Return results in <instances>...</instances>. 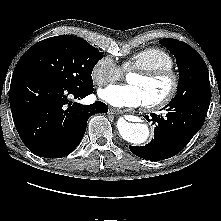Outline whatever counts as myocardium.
<instances>
[{"label":"myocardium","mask_w":221,"mask_h":221,"mask_svg":"<svg viewBox=\"0 0 221 221\" xmlns=\"http://www.w3.org/2000/svg\"><path fill=\"white\" fill-rule=\"evenodd\" d=\"M130 74H136L148 79L168 78L170 80V89L163 98L152 103L144 104L145 109L149 111H156L165 108L174 100L178 93L180 86V78L179 75L173 69H134L131 71Z\"/></svg>","instance_id":"obj_1"}]
</instances>
